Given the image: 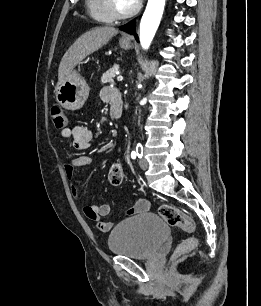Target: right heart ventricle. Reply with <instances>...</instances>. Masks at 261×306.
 <instances>
[{"label":"right heart ventricle","instance_id":"e07e8e85","mask_svg":"<svg viewBox=\"0 0 261 306\" xmlns=\"http://www.w3.org/2000/svg\"><path fill=\"white\" fill-rule=\"evenodd\" d=\"M88 14L100 23H111L114 18L110 14L106 0H85Z\"/></svg>","mask_w":261,"mask_h":306}]
</instances>
